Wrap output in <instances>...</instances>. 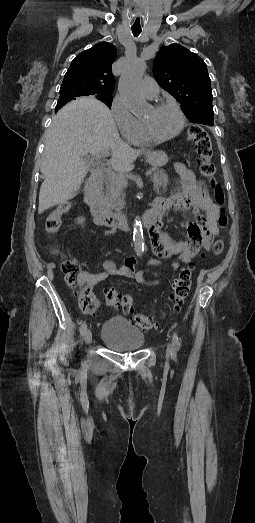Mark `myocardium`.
Here are the masks:
<instances>
[{"label": "myocardium", "mask_w": 255, "mask_h": 523, "mask_svg": "<svg viewBox=\"0 0 255 523\" xmlns=\"http://www.w3.org/2000/svg\"><path fill=\"white\" fill-rule=\"evenodd\" d=\"M164 106H171L175 109V111L177 112L179 119H180L179 126H178L177 130L174 133H172L171 135L165 136V137H157V136H154L150 132L147 124L141 120L140 127H141L142 136L148 142L162 143V142L170 141V140L176 138L182 132V130L185 126V122H186L185 115L177 103H175L173 101H160V102L154 104L152 106V108L154 110H157Z\"/></svg>", "instance_id": "f54148a6"}]
</instances>
